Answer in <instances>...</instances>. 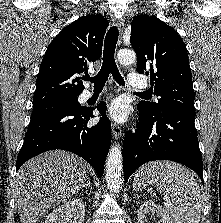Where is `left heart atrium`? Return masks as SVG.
I'll return each mask as SVG.
<instances>
[{
  "label": "left heart atrium",
  "instance_id": "1",
  "mask_svg": "<svg viewBox=\"0 0 221 223\" xmlns=\"http://www.w3.org/2000/svg\"><path fill=\"white\" fill-rule=\"evenodd\" d=\"M107 115L117 122H124L128 117V105L120 98L115 99L107 109Z\"/></svg>",
  "mask_w": 221,
  "mask_h": 223
}]
</instances>
